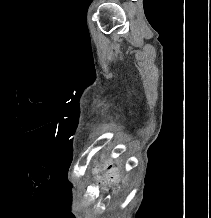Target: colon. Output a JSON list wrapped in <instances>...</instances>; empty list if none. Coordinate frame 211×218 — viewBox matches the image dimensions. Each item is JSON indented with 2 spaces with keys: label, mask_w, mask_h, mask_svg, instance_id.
Listing matches in <instances>:
<instances>
[{
  "label": "colon",
  "mask_w": 211,
  "mask_h": 218,
  "mask_svg": "<svg viewBox=\"0 0 211 218\" xmlns=\"http://www.w3.org/2000/svg\"><path fill=\"white\" fill-rule=\"evenodd\" d=\"M101 174H104L106 180L111 183L115 184L118 179V172L117 170L112 167L108 161L104 160L100 165H98L95 169V176L99 177Z\"/></svg>",
  "instance_id": "5ec220e1"
}]
</instances>
